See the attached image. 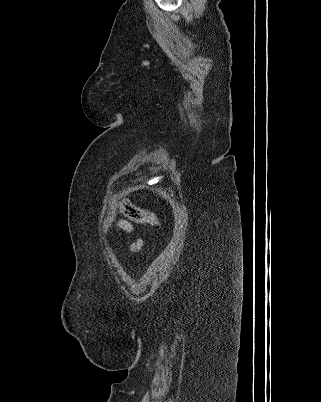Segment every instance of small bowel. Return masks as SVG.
Listing matches in <instances>:
<instances>
[{
	"label": "small bowel",
	"mask_w": 321,
	"mask_h": 402,
	"mask_svg": "<svg viewBox=\"0 0 321 402\" xmlns=\"http://www.w3.org/2000/svg\"><path fill=\"white\" fill-rule=\"evenodd\" d=\"M117 227L127 233L132 231V226L125 220H118ZM130 247L131 250L138 251L141 248V241L133 242Z\"/></svg>",
	"instance_id": "1"
}]
</instances>
